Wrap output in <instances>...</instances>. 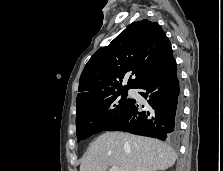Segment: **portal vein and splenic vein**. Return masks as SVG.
<instances>
[{"label":"portal vein and splenic vein","instance_id":"portal-vein-and-splenic-vein-1","mask_svg":"<svg viewBox=\"0 0 223 171\" xmlns=\"http://www.w3.org/2000/svg\"><path fill=\"white\" fill-rule=\"evenodd\" d=\"M109 171H119L118 166H112L111 168H109Z\"/></svg>","mask_w":223,"mask_h":171}]
</instances>
